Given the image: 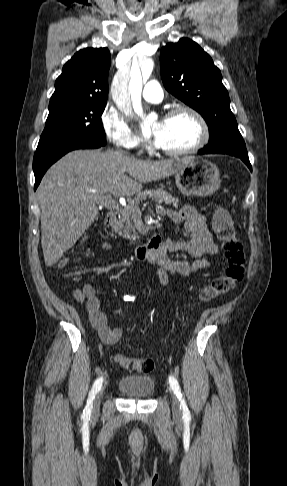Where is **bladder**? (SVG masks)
Returning <instances> with one entry per match:
<instances>
[{"label":"bladder","instance_id":"bladder-1","mask_svg":"<svg viewBox=\"0 0 287 486\" xmlns=\"http://www.w3.org/2000/svg\"><path fill=\"white\" fill-rule=\"evenodd\" d=\"M154 380L148 375H126L118 382L119 391L133 399H146L153 394Z\"/></svg>","mask_w":287,"mask_h":486}]
</instances>
